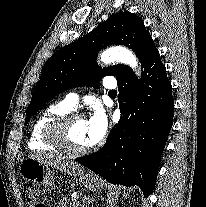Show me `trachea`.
I'll return each mask as SVG.
<instances>
[{
  "label": "trachea",
  "instance_id": "3493384b",
  "mask_svg": "<svg viewBox=\"0 0 206 207\" xmlns=\"http://www.w3.org/2000/svg\"><path fill=\"white\" fill-rule=\"evenodd\" d=\"M109 94H116L115 90L109 91Z\"/></svg>",
  "mask_w": 206,
  "mask_h": 207
}]
</instances>
